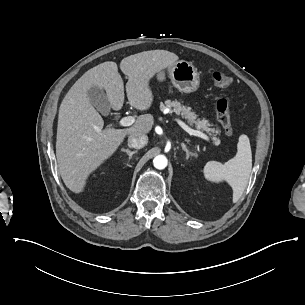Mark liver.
Returning a JSON list of instances; mask_svg holds the SVG:
<instances>
[{"label":"liver","instance_id":"obj_1","mask_svg":"<svg viewBox=\"0 0 305 305\" xmlns=\"http://www.w3.org/2000/svg\"><path fill=\"white\" fill-rule=\"evenodd\" d=\"M177 60L176 54L166 50L123 58L120 69L128 77L129 104L138 110L148 109L153 101L149 80ZM92 86L106 91L113 110H120L124 103L123 80L112 61L86 71L65 95L59 109L56 157L63 182L74 193L83 191L88 175L116 151L126 135L146 134L154 123L153 116L145 114L138 116L130 128L103 130L104 121L87 97Z\"/></svg>","mask_w":305,"mask_h":305}]
</instances>
